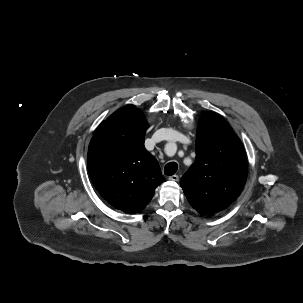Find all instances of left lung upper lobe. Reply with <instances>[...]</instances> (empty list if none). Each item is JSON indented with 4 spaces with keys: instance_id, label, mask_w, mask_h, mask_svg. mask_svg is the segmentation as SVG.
I'll return each mask as SVG.
<instances>
[{
    "instance_id": "obj_1",
    "label": "left lung upper lobe",
    "mask_w": 303,
    "mask_h": 303,
    "mask_svg": "<svg viewBox=\"0 0 303 303\" xmlns=\"http://www.w3.org/2000/svg\"><path fill=\"white\" fill-rule=\"evenodd\" d=\"M247 178L243 144L219 115L205 112L196 138V160L180 180L190 205L201 215L225 210Z\"/></svg>"
}]
</instances>
